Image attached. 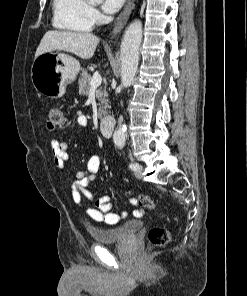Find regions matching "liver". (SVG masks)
Segmentation results:
<instances>
[{
    "mask_svg": "<svg viewBox=\"0 0 247 296\" xmlns=\"http://www.w3.org/2000/svg\"><path fill=\"white\" fill-rule=\"evenodd\" d=\"M98 43L99 38L91 33L48 31L36 50L35 58L47 52L66 51L82 59H90Z\"/></svg>",
    "mask_w": 247,
    "mask_h": 296,
    "instance_id": "1",
    "label": "liver"
}]
</instances>
